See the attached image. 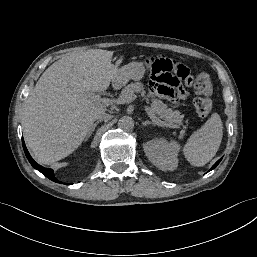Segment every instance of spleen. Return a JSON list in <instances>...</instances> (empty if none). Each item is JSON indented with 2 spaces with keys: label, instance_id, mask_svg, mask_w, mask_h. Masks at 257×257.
Segmentation results:
<instances>
[{
  "label": "spleen",
  "instance_id": "3e777b00",
  "mask_svg": "<svg viewBox=\"0 0 257 257\" xmlns=\"http://www.w3.org/2000/svg\"><path fill=\"white\" fill-rule=\"evenodd\" d=\"M222 137V120L218 113H213L200 129L192 133L183 153L191 165L204 166L216 155Z\"/></svg>",
  "mask_w": 257,
  "mask_h": 257
}]
</instances>
